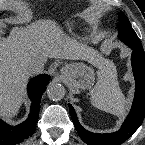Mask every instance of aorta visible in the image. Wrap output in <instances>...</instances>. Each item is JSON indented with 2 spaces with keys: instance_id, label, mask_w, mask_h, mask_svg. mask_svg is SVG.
Instances as JSON below:
<instances>
[{
  "instance_id": "aorta-1",
  "label": "aorta",
  "mask_w": 145,
  "mask_h": 145,
  "mask_svg": "<svg viewBox=\"0 0 145 145\" xmlns=\"http://www.w3.org/2000/svg\"><path fill=\"white\" fill-rule=\"evenodd\" d=\"M47 95L53 101L61 100L65 95L64 87L55 82H51L47 87Z\"/></svg>"
}]
</instances>
